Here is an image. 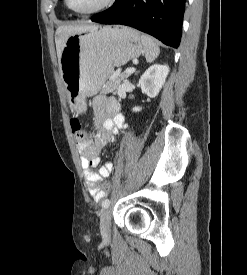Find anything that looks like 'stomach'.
<instances>
[{"instance_id":"0dacf381","label":"stomach","mask_w":247,"mask_h":275,"mask_svg":"<svg viewBox=\"0 0 247 275\" xmlns=\"http://www.w3.org/2000/svg\"><path fill=\"white\" fill-rule=\"evenodd\" d=\"M139 33L129 27H97L67 38L60 58L71 110L86 111V98L97 94L115 67L143 53Z\"/></svg>"}]
</instances>
